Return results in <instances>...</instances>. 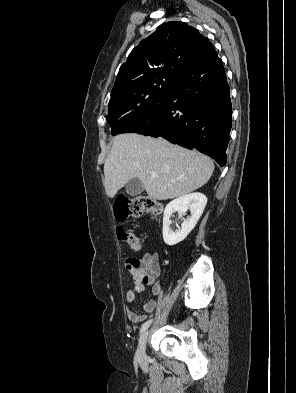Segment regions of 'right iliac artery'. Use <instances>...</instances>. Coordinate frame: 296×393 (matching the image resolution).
<instances>
[{"instance_id":"right-iliac-artery-1","label":"right iliac artery","mask_w":296,"mask_h":393,"mask_svg":"<svg viewBox=\"0 0 296 393\" xmlns=\"http://www.w3.org/2000/svg\"><path fill=\"white\" fill-rule=\"evenodd\" d=\"M151 323H152V319L143 323L140 329V333L144 332L150 326Z\"/></svg>"}]
</instances>
